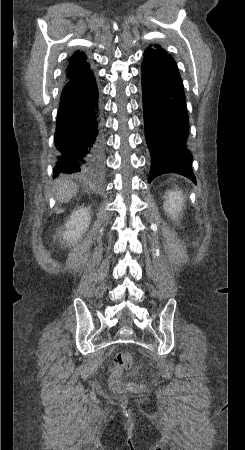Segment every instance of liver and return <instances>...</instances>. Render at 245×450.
Instances as JSON below:
<instances>
[{"label":"liver","instance_id":"1","mask_svg":"<svg viewBox=\"0 0 245 450\" xmlns=\"http://www.w3.org/2000/svg\"><path fill=\"white\" fill-rule=\"evenodd\" d=\"M78 187L69 181L60 182L57 186L56 197L59 202H67L76 195Z\"/></svg>","mask_w":245,"mask_h":450}]
</instances>
